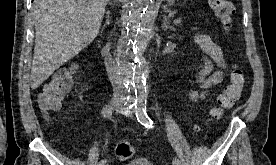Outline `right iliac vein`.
Listing matches in <instances>:
<instances>
[{
    "label": "right iliac vein",
    "mask_w": 276,
    "mask_h": 165,
    "mask_svg": "<svg viewBox=\"0 0 276 165\" xmlns=\"http://www.w3.org/2000/svg\"><path fill=\"white\" fill-rule=\"evenodd\" d=\"M113 106H114L115 108H119V107H120V104H119L118 102H114V103H113Z\"/></svg>",
    "instance_id": "obj_1"
}]
</instances>
